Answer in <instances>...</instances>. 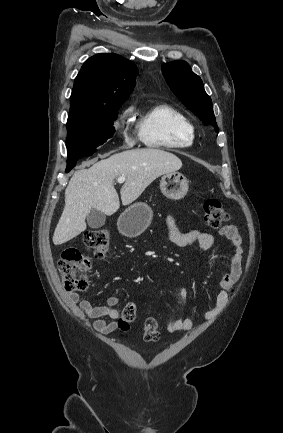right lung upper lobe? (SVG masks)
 I'll list each match as a JSON object with an SVG mask.
<instances>
[{
    "label": "right lung upper lobe",
    "mask_w": 283,
    "mask_h": 433,
    "mask_svg": "<svg viewBox=\"0 0 283 433\" xmlns=\"http://www.w3.org/2000/svg\"><path fill=\"white\" fill-rule=\"evenodd\" d=\"M135 64L117 54H97L86 60L77 75L70 109L121 105L135 85Z\"/></svg>",
    "instance_id": "obj_1"
}]
</instances>
